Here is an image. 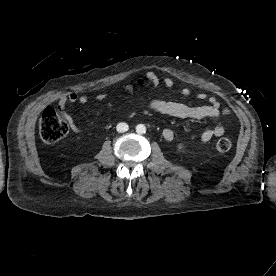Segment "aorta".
<instances>
[{"label": "aorta", "mask_w": 276, "mask_h": 276, "mask_svg": "<svg viewBox=\"0 0 276 276\" xmlns=\"http://www.w3.org/2000/svg\"><path fill=\"white\" fill-rule=\"evenodd\" d=\"M136 132H137L138 134H144V133H146V127H145V125H143V124H138V125L136 126Z\"/></svg>", "instance_id": "762f6f07"}]
</instances>
